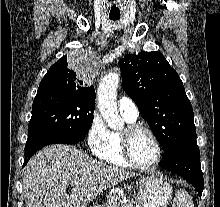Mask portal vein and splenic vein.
Segmentation results:
<instances>
[{
  "label": "portal vein and splenic vein",
  "mask_w": 220,
  "mask_h": 207,
  "mask_svg": "<svg viewBox=\"0 0 220 207\" xmlns=\"http://www.w3.org/2000/svg\"><path fill=\"white\" fill-rule=\"evenodd\" d=\"M78 183H79V181L74 180V181L72 182V186H73V185H76V184H78Z\"/></svg>",
  "instance_id": "obj_1"
}]
</instances>
